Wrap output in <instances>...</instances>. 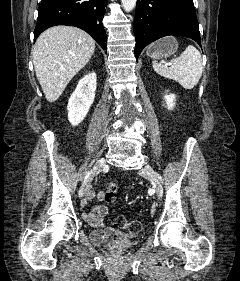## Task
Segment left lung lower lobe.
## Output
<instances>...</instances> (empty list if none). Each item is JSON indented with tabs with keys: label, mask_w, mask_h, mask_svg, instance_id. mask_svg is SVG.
Wrapping results in <instances>:
<instances>
[{
	"label": "left lung lower lobe",
	"mask_w": 240,
	"mask_h": 281,
	"mask_svg": "<svg viewBox=\"0 0 240 281\" xmlns=\"http://www.w3.org/2000/svg\"><path fill=\"white\" fill-rule=\"evenodd\" d=\"M133 30L136 58L145 46L168 35L201 43L193 0H137Z\"/></svg>",
	"instance_id": "1"
}]
</instances>
